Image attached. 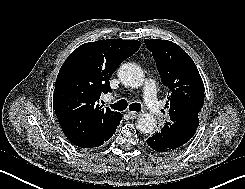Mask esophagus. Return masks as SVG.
Wrapping results in <instances>:
<instances>
[{
    "mask_svg": "<svg viewBox=\"0 0 245 189\" xmlns=\"http://www.w3.org/2000/svg\"><path fill=\"white\" fill-rule=\"evenodd\" d=\"M128 115L130 116V118L136 119L137 117L141 115V113L135 112V111H128Z\"/></svg>",
    "mask_w": 245,
    "mask_h": 189,
    "instance_id": "obj_1",
    "label": "esophagus"
}]
</instances>
